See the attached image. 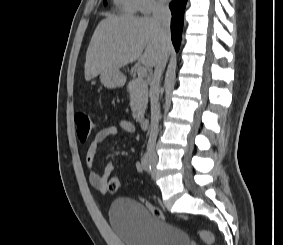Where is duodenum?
Returning a JSON list of instances; mask_svg holds the SVG:
<instances>
[{"label": "duodenum", "mask_w": 283, "mask_h": 245, "mask_svg": "<svg viewBox=\"0 0 283 245\" xmlns=\"http://www.w3.org/2000/svg\"><path fill=\"white\" fill-rule=\"evenodd\" d=\"M139 124L143 130H146L149 127V120L146 117H141L139 119Z\"/></svg>", "instance_id": "1"}]
</instances>
